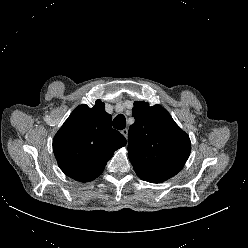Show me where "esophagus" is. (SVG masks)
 Segmentation results:
<instances>
[{
	"label": "esophagus",
	"instance_id": "34e87169",
	"mask_svg": "<svg viewBox=\"0 0 248 248\" xmlns=\"http://www.w3.org/2000/svg\"><path fill=\"white\" fill-rule=\"evenodd\" d=\"M121 133L123 134V136H124L125 138H127V136H128V129L125 128V129L121 130Z\"/></svg>",
	"mask_w": 248,
	"mask_h": 248
}]
</instances>
